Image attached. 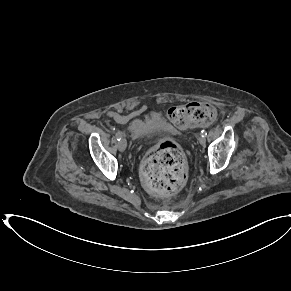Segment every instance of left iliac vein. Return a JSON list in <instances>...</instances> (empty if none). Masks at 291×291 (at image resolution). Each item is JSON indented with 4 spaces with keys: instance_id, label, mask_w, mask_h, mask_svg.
Returning <instances> with one entry per match:
<instances>
[{
    "instance_id": "obj_1",
    "label": "left iliac vein",
    "mask_w": 291,
    "mask_h": 291,
    "mask_svg": "<svg viewBox=\"0 0 291 291\" xmlns=\"http://www.w3.org/2000/svg\"><path fill=\"white\" fill-rule=\"evenodd\" d=\"M198 141H199V143L201 144V145H205V143H206V139H205V137H203V136H199L198 137Z\"/></svg>"
}]
</instances>
